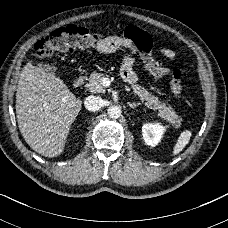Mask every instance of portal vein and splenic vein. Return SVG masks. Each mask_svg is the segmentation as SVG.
Here are the masks:
<instances>
[{
	"instance_id": "obj_1",
	"label": "portal vein and splenic vein",
	"mask_w": 228,
	"mask_h": 228,
	"mask_svg": "<svg viewBox=\"0 0 228 228\" xmlns=\"http://www.w3.org/2000/svg\"><path fill=\"white\" fill-rule=\"evenodd\" d=\"M107 82H108V78H103L102 84H105V83H107Z\"/></svg>"
}]
</instances>
